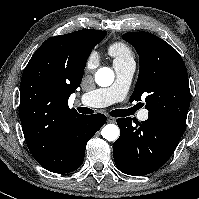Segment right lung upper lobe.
<instances>
[{
    "instance_id": "obj_1",
    "label": "right lung upper lobe",
    "mask_w": 199,
    "mask_h": 199,
    "mask_svg": "<svg viewBox=\"0 0 199 199\" xmlns=\"http://www.w3.org/2000/svg\"><path fill=\"white\" fill-rule=\"evenodd\" d=\"M107 32L84 29L48 38L28 62L20 84L19 117L25 140L57 137L80 114L68 98L80 86L86 60Z\"/></svg>"
}]
</instances>
